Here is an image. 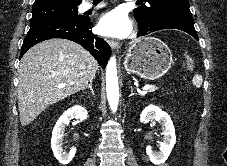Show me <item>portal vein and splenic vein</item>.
Instances as JSON below:
<instances>
[{
	"mask_svg": "<svg viewBox=\"0 0 227 166\" xmlns=\"http://www.w3.org/2000/svg\"><path fill=\"white\" fill-rule=\"evenodd\" d=\"M150 88H151L150 85H145V86L143 87V90H144V91H147V90H149Z\"/></svg>",
	"mask_w": 227,
	"mask_h": 166,
	"instance_id": "1",
	"label": "portal vein and splenic vein"
}]
</instances>
